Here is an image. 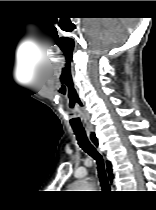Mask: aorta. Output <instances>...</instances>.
Masks as SVG:
<instances>
[{
  "label": "aorta",
  "instance_id": "1",
  "mask_svg": "<svg viewBox=\"0 0 156 210\" xmlns=\"http://www.w3.org/2000/svg\"><path fill=\"white\" fill-rule=\"evenodd\" d=\"M75 188L77 189H91V187L84 183H78L75 185ZM79 191V190H78Z\"/></svg>",
  "mask_w": 156,
  "mask_h": 210
}]
</instances>
